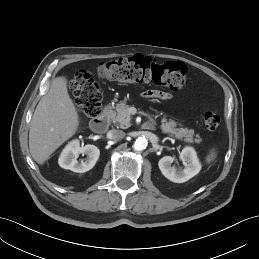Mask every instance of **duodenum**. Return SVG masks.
<instances>
[{
    "label": "duodenum",
    "instance_id": "obj_1",
    "mask_svg": "<svg viewBox=\"0 0 259 259\" xmlns=\"http://www.w3.org/2000/svg\"><path fill=\"white\" fill-rule=\"evenodd\" d=\"M110 115L107 110L93 119L91 127L95 132L104 133L109 126Z\"/></svg>",
    "mask_w": 259,
    "mask_h": 259
}]
</instances>
